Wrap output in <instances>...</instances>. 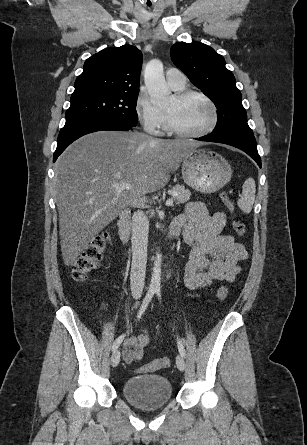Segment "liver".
<instances>
[{
    "label": "liver",
    "mask_w": 307,
    "mask_h": 445,
    "mask_svg": "<svg viewBox=\"0 0 307 445\" xmlns=\"http://www.w3.org/2000/svg\"><path fill=\"white\" fill-rule=\"evenodd\" d=\"M202 142L164 140L144 132L85 134L55 162L61 253L67 267L137 196L160 190L184 156ZM113 182H130L116 190Z\"/></svg>",
    "instance_id": "1"
}]
</instances>
